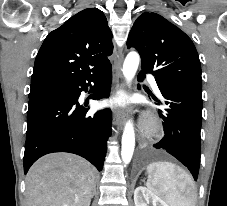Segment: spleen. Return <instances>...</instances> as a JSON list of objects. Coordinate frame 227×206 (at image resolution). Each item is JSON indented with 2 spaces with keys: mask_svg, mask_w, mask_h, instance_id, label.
<instances>
[{
  "mask_svg": "<svg viewBox=\"0 0 227 206\" xmlns=\"http://www.w3.org/2000/svg\"><path fill=\"white\" fill-rule=\"evenodd\" d=\"M147 187L163 198L168 206H195L190 176L170 162H155L147 167Z\"/></svg>",
  "mask_w": 227,
  "mask_h": 206,
  "instance_id": "spleen-1",
  "label": "spleen"
}]
</instances>
